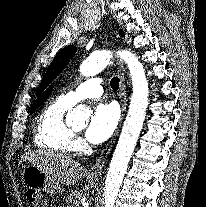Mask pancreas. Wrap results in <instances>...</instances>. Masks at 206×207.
<instances>
[{
  "label": "pancreas",
  "mask_w": 206,
  "mask_h": 207,
  "mask_svg": "<svg viewBox=\"0 0 206 207\" xmlns=\"http://www.w3.org/2000/svg\"><path fill=\"white\" fill-rule=\"evenodd\" d=\"M67 207H80V199H81V193L80 192H72L67 197Z\"/></svg>",
  "instance_id": "1"
}]
</instances>
